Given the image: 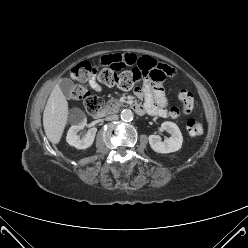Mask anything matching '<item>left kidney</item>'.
I'll use <instances>...</instances> for the list:
<instances>
[{
    "label": "left kidney",
    "mask_w": 248,
    "mask_h": 248,
    "mask_svg": "<svg viewBox=\"0 0 248 248\" xmlns=\"http://www.w3.org/2000/svg\"><path fill=\"white\" fill-rule=\"evenodd\" d=\"M161 127L171 136L164 141L159 135H150L148 137L151 148L158 153H171L178 151L183 142V137L178 126L173 122H163Z\"/></svg>",
    "instance_id": "obj_1"
}]
</instances>
